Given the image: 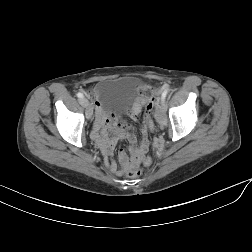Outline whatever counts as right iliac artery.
Returning a JSON list of instances; mask_svg holds the SVG:
<instances>
[{
  "mask_svg": "<svg viewBox=\"0 0 252 252\" xmlns=\"http://www.w3.org/2000/svg\"><path fill=\"white\" fill-rule=\"evenodd\" d=\"M77 97L82 99L84 96L82 93H77Z\"/></svg>",
  "mask_w": 252,
  "mask_h": 252,
  "instance_id": "82829eb1",
  "label": "right iliac artery"
}]
</instances>
